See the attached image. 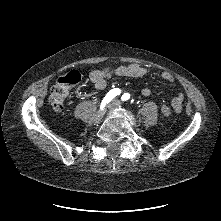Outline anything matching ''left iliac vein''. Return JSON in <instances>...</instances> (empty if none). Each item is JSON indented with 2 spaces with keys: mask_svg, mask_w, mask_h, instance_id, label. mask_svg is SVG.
Returning a JSON list of instances; mask_svg holds the SVG:
<instances>
[{
  "mask_svg": "<svg viewBox=\"0 0 221 221\" xmlns=\"http://www.w3.org/2000/svg\"><path fill=\"white\" fill-rule=\"evenodd\" d=\"M119 105V101L118 100H114L110 105H109V108H114L116 106Z\"/></svg>",
  "mask_w": 221,
  "mask_h": 221,
  "instance_id": "obj_1",
  "label": "left iliac vein"
}]
</instances>
